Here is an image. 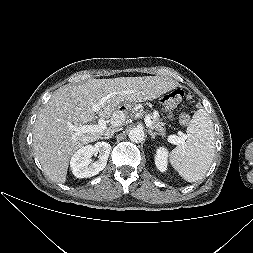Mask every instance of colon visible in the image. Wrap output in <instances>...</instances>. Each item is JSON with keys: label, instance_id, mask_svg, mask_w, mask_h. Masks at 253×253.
<instances>
[{"label": "colon", "instance_id": "1", "mask_svg": "<svg viewBox=\"0 0 253 253\" xmlns=\"http://www.w3.org/2000/svg\"><path fill=\"white\" fill-rule=\"evenodd\" d=\"M183 96H184L183 90L176 89L170 94L166 95L163 99V102L167 107L175 106L182 100ZM179 120L181 124L186 125L190 120V116L188 113L183 112L180 114Z\"/></svg>", "mask_w": 253, "mask_h": 253}]
</instances>
